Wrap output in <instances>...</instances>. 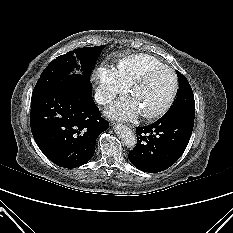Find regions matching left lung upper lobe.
Here are the masks:
<instances>
[{"label": "left lung upper lobe", "mask_w": 233, "mask_h": 233, "mask_svg": "<svg viewBox=\"0 0 233 233\" xmlns=\"http://www.w3.org/2000/svg\"><path fill=\"white\" fill-rule=\"evenodd\" d=\"M177 76L179 80V92L174 104L166 115L194 119L195 101L191 86L179 71H177Z\"/></svg>", "instance_id": "1"}]
</instances>
